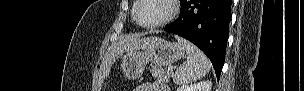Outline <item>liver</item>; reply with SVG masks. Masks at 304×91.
<instances>
[{
	"label": "liver",
	"instance_id": "1",
	"mask_svg": "<svg viewBox=\"0 0 304 91\" xmlns=\"http://www.w3.org/2000/svg\"><path fill=\"white\" fill-rule=\"evenodd\" d=\"M150 38H140V36H125L122 37L116 44H114L110 52L104 57L100 67L102 78L109 75L110 69L116 58L123 52L139 50L145 48Z\"/></svg>",
	"mask_w": 304,
	"mask_h": 91
}]
</instances>
